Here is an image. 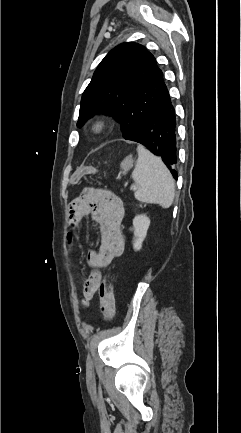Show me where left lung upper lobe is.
Here are the masks:
<instances>
[{
	"label": "left lung upper lobe",
	"instance_id": "1",
	"mask_svg": "<svg viewBox=\"0 0 241 433\" xmlns=\"http://www.w3.org/2000/svg\"><path fill=\"white\" fill-rule=\"evenodd\" d=\"M167 92L155 57L140 44L126 42L100 62L85 89L77 126L95 113L115 115L126 138L162 101Z\"/></svg>",
	"mask_w": 241,
	"mask_h": 433
}]
</instances>
